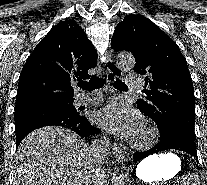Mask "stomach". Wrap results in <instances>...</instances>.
<instances>
[{"mask_svg":"<svg viewBox=\"0 0 207 185\" xmlns=\"http://www.w3.org/2000/svg\"><path fill=\"white\" fill-rule=\"evenodd\" d=\"M181 169V161L175 154L153 155L142 160L136 176L146 183L162 182L173 178Z\"/></svg>","mask_w":207,"mask_h":185,"instance_id":"obj_1","label":"stomach"}]
</instances>
